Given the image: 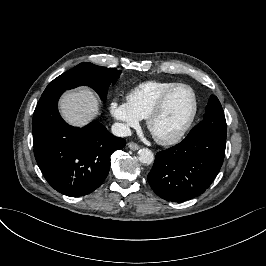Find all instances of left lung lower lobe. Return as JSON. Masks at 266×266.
<instances>
[{
    "label": "left lung lower lobe",
    "instance_id": "1",
    "mask_svg": "<svg viewBox=\"0 0 266 266\" xmlns=\"http://www.w3.org/2000/svg\"><path fill=\"white\" fill-rule=\"evenodd\" d=\"M225 146L226 134L202 130L158 152L147 177L151 188L173 202L201 195L220 171Z\"/></svg>",
    "mask_w": 266,
    "mask_h": 266
}]
</instances>
